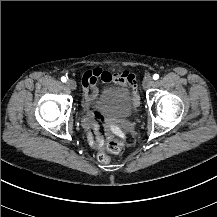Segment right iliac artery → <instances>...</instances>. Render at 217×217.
<instances>
[{
    "instance_id": "obj_1",
    "label": "right iliac artery",
    "mask_w": 217,
    "mask_h": 217,
    "mask_svg": "<svg viewBox=\"0 0 217 217\" xmlns=\"http://www.w3.org/2000/svg\"><path fill=\"white\" fill-rule=\"evenodd\" d=\"M61 81H62V82H66V81H67V78H66V77H64V76H63V77H61Z\"/></svg>"
}]
</instances>
